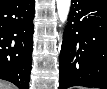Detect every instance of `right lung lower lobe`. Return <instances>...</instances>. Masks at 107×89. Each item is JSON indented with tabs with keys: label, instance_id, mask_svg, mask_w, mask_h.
Here are the masks:
<instances>
[{
	"label": "right lung lower lobe",
	"instance_id": "1",
	"mask_svg": "<svg viewBox=\"0 0 107 89\" xmlns=\"http://www.w3.org/2000/svg\"><path fill=\"white\" fill-rule=\"evenodd\" d=\"M34 0H0V78L28 89Z\"/></svg>",
	"mask_w": 107,
	"mask_h": 89
}]
</instances>
